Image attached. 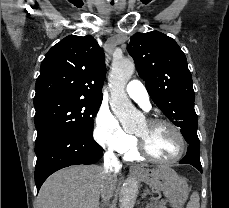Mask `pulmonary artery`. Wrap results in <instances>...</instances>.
I'll return each mask as SVG.
<instances>
[{
  "label": "pulmonary artery",
  "mask_w": 229,
  "mask_h": 208,
  "mask_svg": "<svg viewBox=\"0 0 229 208\" xmlns=\"http://www.w3.org/2000/svg\"><path fill=\"white\" fill-rule=\"evenodd\" d=\"M125 91L128 96L137 102L144 110L148 111L151 108L149 95L142 81L138 79L130 80Z\"/></svg>",
  "instance_id": "1"
}]
</instances>
